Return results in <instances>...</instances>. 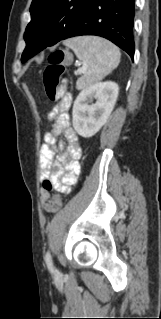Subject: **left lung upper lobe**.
Returning a JSON list of instances; mask_svg holds the SVG:
<instances>
[{"label": "left lung upper lobe", "instance_id": "5c2ea615", "mask_svg": "<svg viewBox=\"0 0 161 319\" xmlns=\"http://www.w3.org/2000/svg\"><path fill=\"white\" fill-rule=\"evenodd\" d=\"M94 0H33L30 13L31 21L27 25L24 39L26 48L22 62L27 60L32 45L37 53L62 40L70 28L83 15ZM27 57V58H26Z\"/></svg>", "mask_w": 161, "mask_h": 319}]
</instances>
